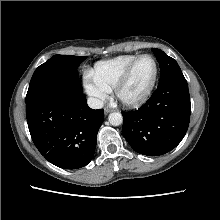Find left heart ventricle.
<instances>
[{"label": "left heart ventricle", "instance_id": "left-heart-ventricle-1", "mask_svg": "<svg viewBox=\"0 0 220 220\" xmlns=\"http://www.w3.org/2000/svg\"><path fill=\"white\" fill-rule=\"evenodd\" d=\"M155 73V65L152 59L146 57L136 65L129 82L122 90V96L127 99H135L142 96L150 86Z\"/></svg>", "mask_w": 220, "mask_h": 220}]
</instances>
